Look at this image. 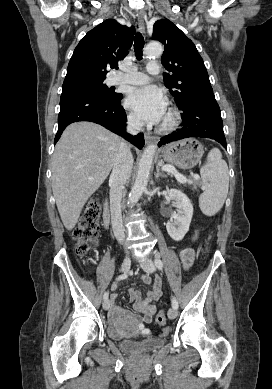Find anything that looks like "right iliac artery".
I'll list each match as a JSON object with an SVG mask.
<instances>
[{
  "instance_id": "82829eb1",
  "label": "right iliac artery",
  "mask_w": 272,
  "mask_h": 389,
  "mask_svg": "<svg viewBox=\"0 0 272 389\" xmlns=\"http://www.w3.org/2000/svg\"><path fill=\"white\" fill-rule=\"evenodd\" d=\"M127 277L126 274H122V275H119L116 280L120 281V280H123ZM108 296H109V293L108 292H105L104 295H103V298L104 300L108 299Z\"/></svg>"
}]
</instances>
